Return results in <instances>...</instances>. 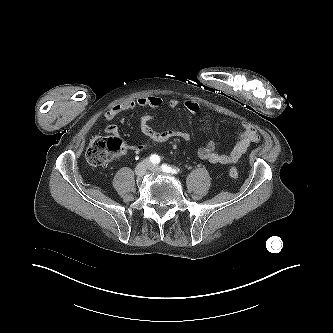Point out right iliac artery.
<instances>
[{
	"label": "right iliac artery",
	"mask_w": 333,
	"mask_h": 333,
	"mask_svg": "<svg viewBox=\"0 0 333 333\" xmlns=\"http://www.w3.org/2000/svg\"><path fill=\"white\" fill-rule=\"evenodd\" d=\"M150 161L153 164H158L160 162V157L156 154H153V155L150 156Z\"/></svg>",
	"instance_id": "obj_1"
}]
</instances>
